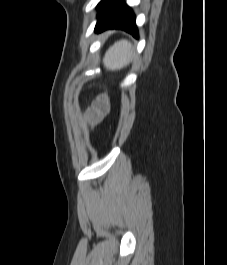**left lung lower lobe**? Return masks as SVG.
Listing matches in <instances>:
<instances>
[{"label":"left lung lower lobe","mask_w":227,"mask_h":265,"mask_svg":"<svg viewBox=\"0 0 227 265\" xmlns=\"http://www.w3.org/2000/svg\"><path fill=\"white\" fill-rule=\"evenodd\" d=\"M96 32L106 29H122L138 38L135 16L122 0H106L99 7Z\"/></svg>","instance_id":"0a47b994"}]
</instances>
